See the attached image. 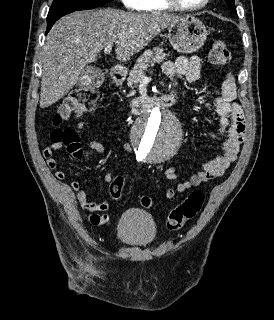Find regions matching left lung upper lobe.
<instances>
[{
    "mask_svg": "<svg viewBox=\"0 0 274 320\" xmlns=\"http://www.w3.org/2000/svg\"><path fill=\"white\" fill-rule=\"evenodd\" d=\"M225 1L227 3L228 7L230 8V10H232L234 13H237L234 0H225Z\"/></svg>",
    "mask_w": 274,
    "mask_h": 320,
    "instance_id": "5c2ea615",
    "label": "left lung upper lobe"
}]
</instances>
